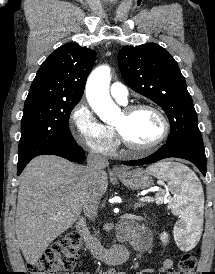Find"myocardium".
Masks as SVG:
<instances>
[{
	"mask_svg": "<svg viewBox=\"0 0 215 274\" xmlns=\"http://www.w3.org/2000/svg\"><path fill=\"white\" fill-rule=\"evenodd\" d=\"M147 109L153 111L161 120L162 123V132L160 136L154 140L152 143L147 145H136L131 143L120 131V129L114 125V131L116 132L120 142L129 150L135 151V152H150L154 149H156L158 146H160L169 136L170 134V122L164 113V111L159 108L158 106L150 103H136L126 106L123 109V112L127 115H130L138 110Z\"/></svg>",
	"mask_w": 215,
	"mask_h": 274,
	"instance_id": "1",
	"label": "myocardium"
}]
</instances>
